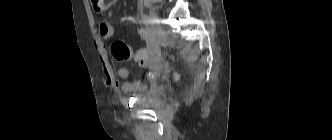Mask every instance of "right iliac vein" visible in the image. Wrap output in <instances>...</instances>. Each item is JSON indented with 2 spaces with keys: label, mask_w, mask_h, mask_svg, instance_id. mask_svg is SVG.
Wrapping results in <instances>:
<instances>
[{
  "label": "right iliac vein",
  "mask_w": 332,
  "mask_h": 140,
  "mask_svg": "<svg viewBox=\"0 0 332 140\" xmlns=\"http://www.w3.org/2000/svg\"><path fill=\"white\" fill-rule=\"evenodd\" d=\"M150 20H151L150 32L154 33L156 31L157 25L159 23V18L157 17L154 10L150 11Z\"/></svg>",
  "instance_id": "63e3f726"
}]
</instances>
